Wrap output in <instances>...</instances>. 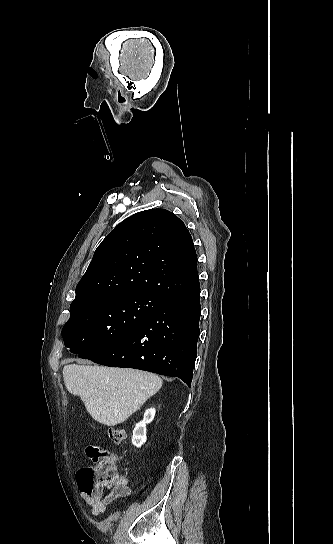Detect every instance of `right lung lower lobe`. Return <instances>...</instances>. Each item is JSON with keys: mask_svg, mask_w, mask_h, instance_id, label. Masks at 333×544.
Returning <instances> with one entry per match:
<instances>
[{"mask_svg": "<svg viewBox=\"0 0 333 544\" xmlns=\"http://www.w3.org/2000/svg\"><path fill=\"white\" fill-rule=\"evenodd\" d=\"M200 285L170 297L136 329L82 358L177 376L191 385L200 319Z\"/></svg>", "mask_w": 333, "mask_h": 544, "instance_id": "1", "label": "right lung lower lobe"}]
</instances>
